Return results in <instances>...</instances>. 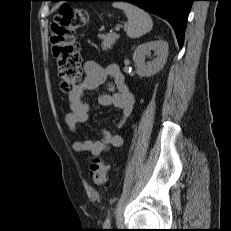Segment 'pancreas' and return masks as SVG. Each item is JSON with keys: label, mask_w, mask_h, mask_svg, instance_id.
<instances>
[{"label": "pancreas", "mask_w": 231, "mask_h": 231, "mask_svg": "<svg viewBox=\"0 0 231 231\" xmlns=\"http://www.w3.org/2000/svg\"><path fill=\"white\" fill-rule=\"evenodd\" d=\"M119 35L116 33H109L107 35H101L102 43L101 47L103 50L111 49Z\"/></svg>", "instance_id": "pancreas-1"}]
</instances>
